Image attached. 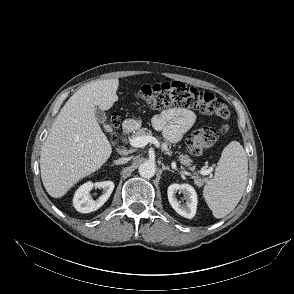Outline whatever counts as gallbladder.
<instances>
[{"label": "gallbladder", "mask_w": 294, "mask_h": 294, "mask_svg": "<svg viewBox=\"0 0 294 294\" xmlns=\"http://www.w3.org/2000/svg\"><path fill=\"white\" fill-rule=\"evenodd\" d=\"M95 116H96L97 121L100 122V123H105L106 120H107V116H106L105 112L102 111L99 108L96 109V115Z\"/></svg>", "instance_id": "obj_1"}]
</instances>
